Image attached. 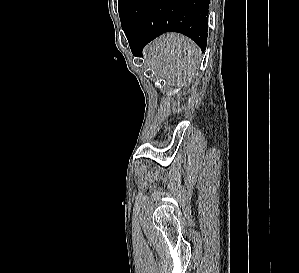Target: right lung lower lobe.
Returning <instances> with one entry per match:
<instances>
[{"mask_svg":"<svg viewBox=\"0 0 299 273\" xmlns=\"http://www.w3.org/2000/svg\"><path fill=\"white\" fill-rule=\"evenodd\" d=\"M210 0H134L123 30L134 56L157 36L174 31L206 49Z\"/></svg>","mask_w":299,"mask_h":273,"instance_id":"1","label":"right lung lower lobe"}]
</instances>
